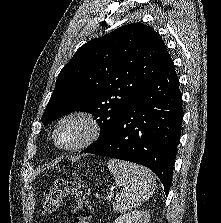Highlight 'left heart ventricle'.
Masks as SVG:
<instances>
[{
  "instance_id": "b2bd125f",
  "label": "left heart ventricle",
  "mask_w": 221,
  "mask_h": 223,
  "mask_svg": "<svg viewBox=\"0 0 221 223\" xmlns=\"http://www.w3.org/2000/svg\"><path fill=\"white\" fill-rule=\"evenodd\" d=\"M85 128L79 120H69L64 123L57 133V141L60 144H72L80 140L84 134Z\"/></svg>"
}]
</instances>
